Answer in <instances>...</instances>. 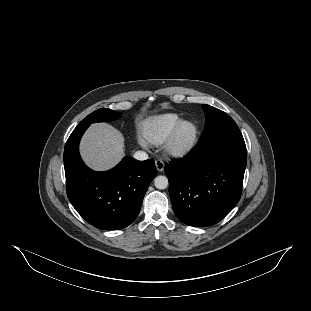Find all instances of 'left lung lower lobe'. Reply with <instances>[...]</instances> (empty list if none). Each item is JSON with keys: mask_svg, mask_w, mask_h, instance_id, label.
Wrapping results in <instances>:
<instances>
[{"mask_svg": "<svg viewBox=\"0 0 311 311\" xmlns=\"http://www.w3.org/2000/svg\"><path fill=\"white\" fill-rule=\"evenodd\" d=\"M246 168V146L240 130L199 140L184 158L165 166L176 216L195 227L211 226L238 203Z\"/></svg>", "mask_w": 311, "mask_h": 311, "instance_id": "1", "label": "left lung lower lobe"}]
</instances>
